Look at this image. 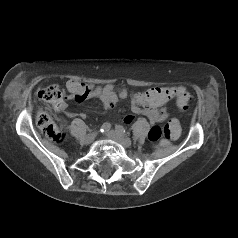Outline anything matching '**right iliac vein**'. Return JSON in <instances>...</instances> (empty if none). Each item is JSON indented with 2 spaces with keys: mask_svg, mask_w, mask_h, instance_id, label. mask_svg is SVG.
Instances as JSON below:
<instances>
[{
  "mask_svg": "<svg viewBox=\"0 0 238 238\" xmlns=\"http://www.w3.org/2000/svg\"><path fill=\"white\" fill-rule=\"evenodd\" d=\"M96 136H97V132L89 133V134L85 137L84 143H85V144H90V143H92V142L95 140Z\"/></svg>",
  "mask_w": 238,
  "mask_h": 238,
  "instance_id": "1",
  "label": "right iliac vein"
}]
</instances>
